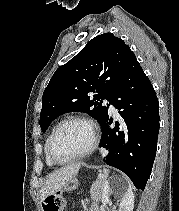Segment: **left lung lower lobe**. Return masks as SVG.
<instances>
[{"label": "left lung lower lobe", "mask_w": 179, "mask_h": 211, "mask_svg": "<svg viewBox=\"0 0 179 211\" xmlns=\"http://www.w3.org/2000/svg\"><path fill=\"white\" fill-rule=\"evenodd\" d=\"M123 118L111 128L106 117L100 147L108 150L104 161L128 175L137 189L144 190L151 174L159 133V103L155 90L135 55L112 92L110 101Z\"/></svg>", "instance_id": "0a47b994"}]
</instances>
